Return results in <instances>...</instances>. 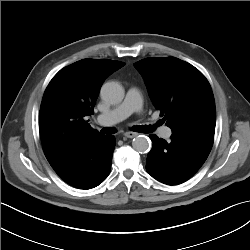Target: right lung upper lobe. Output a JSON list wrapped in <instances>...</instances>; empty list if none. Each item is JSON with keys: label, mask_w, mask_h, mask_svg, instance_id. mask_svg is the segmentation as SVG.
<instances>
[{"label": "right lung upper lobe", "mask_w": 250, "mask_h": 250, "mask_svg": "<svg viewBox=\"0 0 250 250\" xmlns=\"http://www.w3.org/2000/svg\"><path fill=\"white\" fill-rule=\"evenodd\" d=\"M125 63L83 59L61 69L47 86L39 113V130L47 160L100 134L86 120L104 80Z\"/></svg>", "instance_id": "right-lung-upper-lobe-1"}]
</instances>
